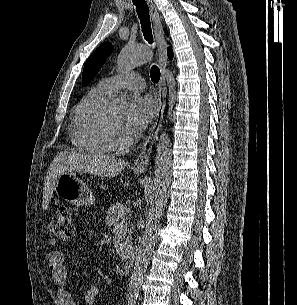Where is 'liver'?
Segmentation results:
<instances>
[{
  "label": "liver",
  "instance_id": "liver-1",
  "mask_svg": "<svg viewBox=\"0 0 297 305\" xmlns=\"http://www.w3.org/2000/svg\"><path fill=\"white\" fill-rule=\"evenodd\" d=\"M125 167L126 163L123 160L78 151H62L56 155L48 169L43 189V208L48 207L54 191V183L65 171L84 172L111 178L119 175Z\"/></svg>",
  "mask_w": 297,
  "mask_h": 305
}]
</instances>
